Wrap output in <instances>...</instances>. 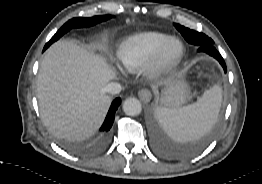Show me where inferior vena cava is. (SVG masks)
Returning a JSON list of instances; mask_svg holds the SVG:
<instances>
[{
	"label": "inferior vena cava",
	"mask_w": 262,
	"mask_h": 184,
	"mask_svg": "<svg viewBox=\"0 0 262 184\" xmlns=\"http://www.w3.org/2000/svg\"><path fill=\"white\" fill-rule=\"evenodd\" d=\"M121 90H122V87L117 82L108 83L105 87V91L112 95L119 94Z\"/></svg>",
	"instance_id": "obj_1"
}]
</instances>
